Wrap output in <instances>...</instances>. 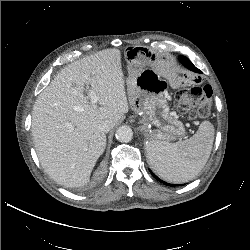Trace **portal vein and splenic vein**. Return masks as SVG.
Listing matches in <instances>:
<instances>
[{"label":"portal vein and splenic vein","mask_w":250,"mask_h":250,"mask_svg":"<svg viewBox=\"0 0 250 250\" xmlns=\"http://www.w3.org/2000/svg\"><path fill=\"white\" fill-rule=\"evenodd\" d=\"M89 96H90L92 103H96L99 99L98 96L92 91L89 92Z\"/></svg>","instance_id":"portal-vein-and-splenic-vein-1"}]
</instances>
